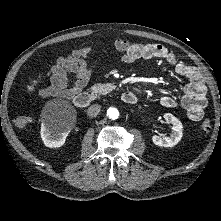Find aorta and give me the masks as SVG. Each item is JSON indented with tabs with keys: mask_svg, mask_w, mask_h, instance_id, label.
<instances>
[{
	"mask_svg": "<svg viewBox=\"0 0 221 221\" xmlns=\"http://www.w3.org/2000/svg\"><path fill=\"white\" fill-rule=\"evenodd\" d=\"M107 116L110 119H117L119 117V111L116 108H109L107 110Z\"/></svg>",
	"mask_w": 221,
	"mask_h": 221,
	"instance_id": "obj_1",
	"label": "aorta"
}]
</instances>
